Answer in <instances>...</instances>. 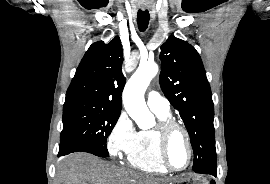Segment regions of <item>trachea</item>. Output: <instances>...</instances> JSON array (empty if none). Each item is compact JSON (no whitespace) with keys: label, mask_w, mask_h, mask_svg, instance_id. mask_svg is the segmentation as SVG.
I'll return each instance as SVG.
<instances>
[{"label":"trachea","mask_w":270,"mask_h":184,"mask_svg":"<svg viewBox=\"0 0 270 184\" xmlns=\"http://www.w3.org/2000/svg\"><path fill=\"white\" fill-rule=\"evenodd\" d=\"M150 15L148 10H139L137 14V23L140 31H145L149 24Z\"/></svg>","instance_id":"obj_1"}]
</instances>
